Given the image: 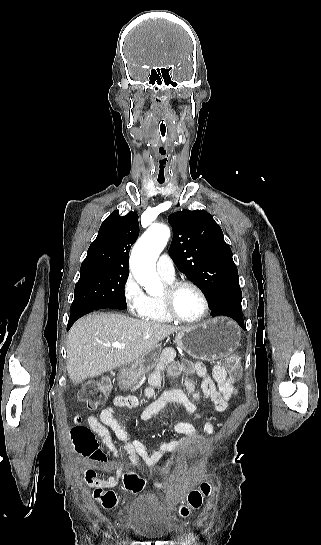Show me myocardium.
<instances>
[{
	"mask_svg": "<svg viewBox=\"0 0 321 545\" xmlns=\"http://www.w3.org/2000/svg\"><path fill=\"white\" fill-rule=\"evenodd\" d=\"M184 288H191L193 290H195L201 300H202V303H203V312L202 314L194 319V320H186V319H183L181 317L178 316V314L176 313V311L174 310L173 308V304H172V300H173V297L182 289ZM165 291L167 293V296L165 299H160L159 300V303L161 305V308L162 310L164 311V313L167 315V317L177 323V324H180V325H185V326H196V325H199L201 323H203L205 321V319L208 317L209 315V312H210V304H209V300H208V297L206 295V293L204 292V290L198 286L197 284L191 282V281H175V282H171V283H167L165 285Z\"/></svg>",
	"mask_w": 321,
	"mask_h": 545,
	"instance_id": "f54148a6",
	"label": "myocardium"
}]
</instances>
